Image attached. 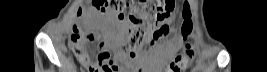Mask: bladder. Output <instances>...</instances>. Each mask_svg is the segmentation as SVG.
Masks as SVG:
<instances>
[{"instance_id":"1","label":"bladder","mask_w":267,"mask_h":72,"mask_svg":"<svg viewBox=\"0 0 267 72\" xmlns=\"http://www.w3.org/2000/svg\"><path fill=\"white\" fill-rule=\"evenodd\" d=\"M112 20H113V22H116V20L114 18Z\"/></svg>"}]
</instances>
